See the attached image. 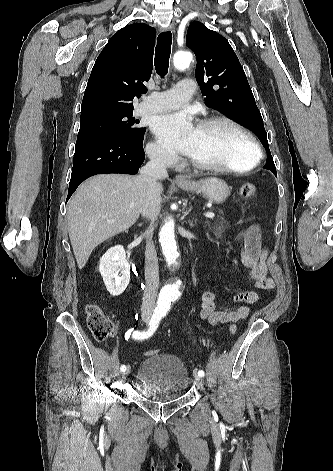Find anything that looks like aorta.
<instances>
[{
    "instance_id": "1",
    "label": "aorta",
    "mask_w": 333,
    "mask_h": 471,
    "mask_svg": "<svg viewBox=\"0 0 333 471\" xmlns=\"http://www.w3.org/2000/svg\"><path fill=\"white\" fill-rule=\"evenodd\" d=\"M192 61V54L188 51L177 52L174 56V66L179 70L186 69ZM159 242L166 261L170 265H177L179 252L175 241L174 219L168 217L159 233ZM180 281L165 285L159 294L158 307L167 309L170 307L171 301L180 295Z\"/></svg>"
}]
</instances>
